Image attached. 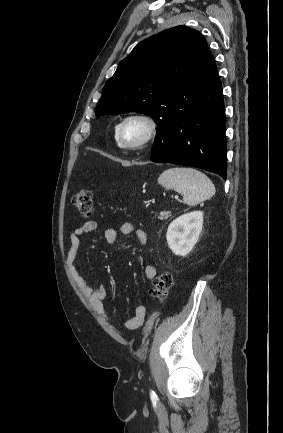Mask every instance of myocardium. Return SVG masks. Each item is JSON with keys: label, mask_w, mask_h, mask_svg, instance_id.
<instances>
[{"label": "myocardium", "mask_w": 283, "mask_h": 433, "mask_svg": "<svg viewBox=\"0 0 283 433\" xmlns=\"http://www.w3.org/2000/svg\"><path fill=\"white\" fill-rule=\"evenodd\" d=\"M131 120H140L146 125L145 135L134 142H124L121 139V131L125 123ZM159 133V123L155 117L146 112H132L125 115L117 124L115 128V140L119 147L128 150H139L146 148L152 144L157 138Z\"/></svg>", "instance_id": "myocardium-1"}]
</instances>
